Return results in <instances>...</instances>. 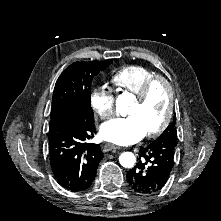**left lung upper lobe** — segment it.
I'll return each instance as SVG.
<instances>
[{"instance_id": "5c2ea615", "label": "left lung upper lobe", "mask_w": 221, "mask_h": 221, "mask_svg": "<svg viewBox=\"0 0 221 221\" xmlns=\"http://www.w3.org/2000/svg\"><path fill=\"white\" fill-rule=\"evenodd\" d=\"M176 116L174 121L166 128V130L160 135L158 139L168 138L177 141V130H176Z\"/></svg>"}]
</instances>
